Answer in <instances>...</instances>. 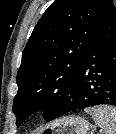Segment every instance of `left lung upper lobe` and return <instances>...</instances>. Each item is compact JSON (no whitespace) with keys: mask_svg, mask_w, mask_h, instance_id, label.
Returning <instances> with one entry per match:
<instances>
[{"mask_svg":"<svg viewBox=\"0 0 116 134\" xmlns=\"http://www.w3.org/2000/svg\"><path fill=\"white\" fill-rule=\"evenodd\" d=\"M113 8L112 0H55L48 7L23 50L17 72V126L37 110H44L49 121L72 96L87 51Z\"/></svg>","mask_w":116,"mask_h":134,"instance_id":"obj_1","label":"left lung upper lobe"}]
</instances>
